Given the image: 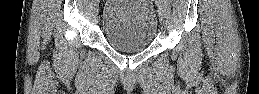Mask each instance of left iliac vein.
<instances>
[{"mask_svg": "<svg viewBox=\"0 0 259 94\" xmlns=\"http://www.w3.org/2000/svg\"><path fill=\"white\" fill-rule=\"evenodd\" d=\"M158 15L161 22H164L165 20V13L161 6L158 7Z\"/></svg>", "mask_w": 259, "mask_h": 94, "instance_id": "obj_1", "label": "left iliac vein"}]
</instances>
